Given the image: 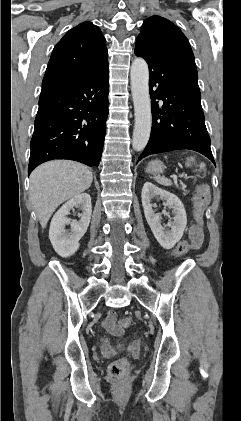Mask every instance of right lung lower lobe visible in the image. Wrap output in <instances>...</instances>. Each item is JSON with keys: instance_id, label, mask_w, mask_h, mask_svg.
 Wrapping results in <instances>:
<instances>
[{"instance_id": "right-lung-lower-lobe-1", "label": "right lung lower lobe", "mask_w": 241, "mask_h": 421, "mask_svg": "<svg viewBox=\"0 0 241 421\" xmlns=\"http://www.w3.org/2000/svg\"><path fill=\"white\" fill-rule=\"evenodd\" d=\"M108 63L94 72L42 87L28 173L53 159L98 166L108 116Z\"/></svg>"}]
</instances>
